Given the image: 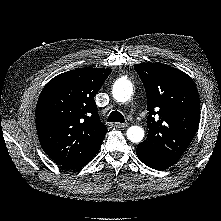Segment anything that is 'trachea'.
Returning <instances> with one entry per match:
<instances>
[{"label": "trachea", "mask_w": 221, "mask_h": 221, "mask_svg": "<svg viewBox=\"0 0 221 221\" xmlns=\"http://www.w3.org/2000/svg\"><path fill=\"white\" fill-rule=\"evenodd\" d=\"M108 122L124 123V116L119 111H112L107 119Z\"/></svg>", "instance_id": "obj_1"}]
</instances>
